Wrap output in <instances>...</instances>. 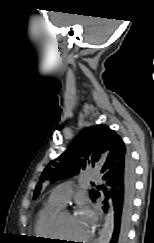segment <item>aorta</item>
<instances>
[{"mask_svg":"<svg viewBox=\"0 0 154 243\" xmlns=\"http://www.w3.org/2000/svg\"><path fill=\"white\" fill-rule=\"evenodd\" d=\"M112 232H113V216L110 207L107 215L105 216L103 228L100 232L98 243H110Z\"/></svg>","mask_w":154,"mask_h":243,"instance_id":"1","label":"aorta"}]
</instances>
